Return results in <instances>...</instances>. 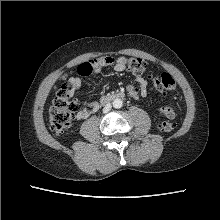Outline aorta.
<instances>
[{
  "mask_svg": "<svg viewBox=\"0 0 220 220\" xmlns=\"http://www.w3.org/2000/svg\"><path fill=\"white\" fill-rule=\"evenodd\" d=\"M122 105H123V101H122L121 99H118V98H117V99H115V100L113 101V107L116 108V109L121 108Z\"/></svg>",
  "mask_w": 220,
  "mask_h": 220,
  "instance_id": "aorta-1",
  "label": "aorta"
}]
</instances>
